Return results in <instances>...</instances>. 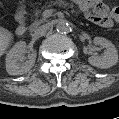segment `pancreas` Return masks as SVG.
I'll return each instance as SVG.
<instances>
[{"label": "pancreas", "mask_w": 119, "mask_h": 119, "mask_svg": "<svg viewBox=\"0 0 119 119\" xmlns=\"http://www.w3.org/2000/svg\"><path fill=\"white\" fill-rule=\"evenodd\" d=\"M52 5H57L59 7H66L68 5L67 2L63 0H56ZM41 13V10H36L34 13L35 20L34 22L29 26L30 30H34L37 26H39L41 23L46 21V18L42 17L39 19V14Z\"/></svg>", "instance_id": "1"}]
</instances>
